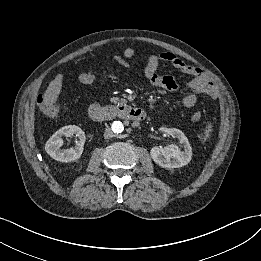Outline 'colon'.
<instances>
[{
	"label": "colon",
	"mask_w": 261,
	"mask_h": 261,
	"mask_svg": "<svg viewBox=\"0 0 261 261\" xmlns=\"http://www.w3.org/2000/svg\"><path fill=\"white\" fill-rule=\"evenodd\" d=\"M184 70H190L188 67H185ZM211 87V79L208 74L201 68H196L193 71V78L190 81L189 88L193 92H205ZM38 104L42 111L51 117L57 115L56 106L53 103L47 102L43 96L38 97ZM201 118L200 112H195L193 114L194 120H199Z\"/></svg>",
	"instance_id": "colon-1"
}]
</instances>
